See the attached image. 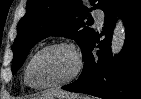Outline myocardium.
<instances>
[{"label":"myocardium","mask_w":141,"mask_h":99,"mask_svg":"<svg viewBox=\"0 0 141 99\" xmlns=\"http://www.w3.org/2000/svg\"><path fill=\"white\" fill-rule=\"evenodd\" d=\"M53 48H67V49H69L73 53L74 58H75V62H76L75 70L73 71V73L69 77H67L66 79H64L62 81L52 83V84H47V85L34 84L30 78V70H31V67H32L34 61L36 60V58L40 54H42L43 52H45L49 49H53ZM82 69H83V59H82L81 53L78 50V48L71 42L59 41V42H54V43H51V44H48V45L42 47L32 56L29 63L27 64V67L25 70V79H26L27 84L34 89H38V90L53 89V88L62 87L64 85H67V84L73 82L75 79H77L79 77V75L82 72Z\"/></svg>","instance_id":"f54148a6"}]
</instances>
